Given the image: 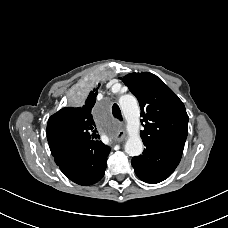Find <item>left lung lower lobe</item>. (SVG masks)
I'll list each match as a JSON object with an SVG mask.
<instances>
[{
	"label": "left lung lower lobe",
	"mask_w": 228,
	"mask_h": 228,
	"mask_svg": "<svg viewBox=\"0 0 228 228\" xmlns=\"http://www.w3.org/2000/svg\"><path fill=\"white\" fill-rule=\"evenodd\" d=\"M145 146L142 155L132 158V166L142 181L159 183L175 170L183 150L159 144H145Z\"/></svg>",
	"instance_id": "left-lung-lower-lobe-1"
}]
</instances>
